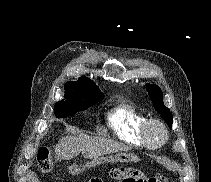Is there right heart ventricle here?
<instances>
[{
    "label": "right heart ventricle",
    "mask_w": 211,
    "mask_h": 182,
    "mask_svg": "<svg viewBox=\"0 0 211 182\" xmlns=\"http://www.w3.org/2000/svg\"><path fill=\"white\" fill-rule=\"evenodd\" d=\"M146 119L145 114L129 103L118 105L108 115V123L115 135L133 146H145L140 129Z\"/></svg>",
    "instance_id": "right-heart-ventricle-1"
}]
</instances>
